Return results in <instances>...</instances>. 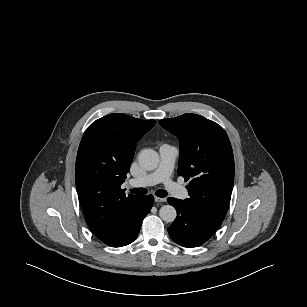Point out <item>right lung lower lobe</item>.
<instances>
[{
  "label": "right lung lower lobe",
  "mask_w": 307,
  "mask_h": 307,
  "mask_svg": "<svg viewBox=\"0 0 307 307\" xmlns=\"http://www.w3.org/2000/svg\"><path fill=\"white\" fill-rule=\"evenodd\" d=\"M142 200H143V206L141 210L139 211L130 232L127 234V236L122 241L113 245V247H121V246L128 245L137 238L140 228H141L142 221L152 208L154 197L152 195H144L142 196Z\"/></svg>",
  "instance_id": "1"
}]
</instances>
